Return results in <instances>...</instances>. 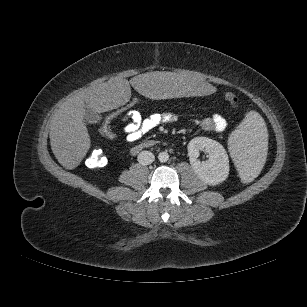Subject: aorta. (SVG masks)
Instances as JSON below:
<instances>
[{"label": "aorta", "instance_id": "obj_1", "mask_svg": "<svg viewBox=\"0 0 307 307\" xmlns=\"http://www.w3.org/2000/svg\"><path fill=\"white\" fill-rule=\"evenodd\" d=\"M158 160L160 162H167L169 160V154L166 151L160 152L158 154Z\"/></svg>", "mask_w": 307, "mask_h": 307}]
</instances>
